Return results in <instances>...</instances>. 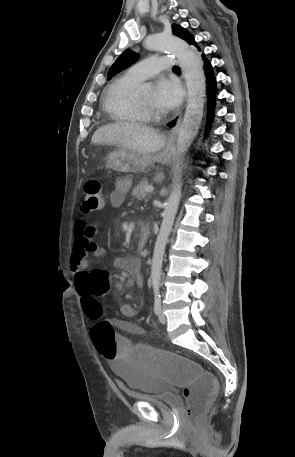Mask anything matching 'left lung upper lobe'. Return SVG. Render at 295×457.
<instances>
[{
  "label": "left lung upper lobe",
  "mask_w": 295,
  "mask_h": 457,
  "mask_svg": "<svg viewBox=\"0 0 295 457\" xmlns=\"http://www.w3.org/2000/svg\"><path fill=\"white\" fill-rule=\"evenodd\" d=\"M173 34L182 38L187 43L192 44L195 40L194 37L183 27L173 24L172 25ZM138 58V54L134 51L128 49L123 54H121L118 59L113 63L108 72V79L112 78L117 73L121 72L132 64Z\"/></svg>",
  "instance_id": "1"
}]
</instances>
